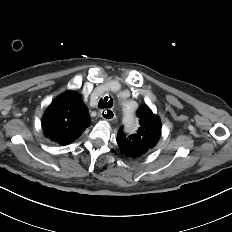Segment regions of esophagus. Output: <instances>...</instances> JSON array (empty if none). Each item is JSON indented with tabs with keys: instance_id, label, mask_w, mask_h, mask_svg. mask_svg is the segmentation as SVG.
<instances>
[{
	"instance_id": "esophagus-1",
	"label": "esophagus",
	"mask_w": 232,
	"mask_h": 232,
	"mask_svg": "<svg viewBox=\"0 0 232 232\" xmlns=\"http://www.w3.org/2000/svg\"><path fill=\"white\" fill-rule=\"evenodd\" d=\"M100 117L104 120L111 121L116 117V115L112 109H103L100 112Z\"/></svg>"
}]
</instances>
